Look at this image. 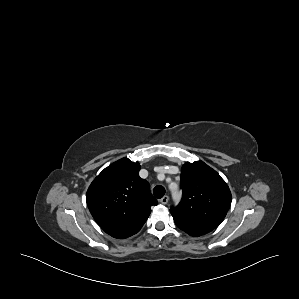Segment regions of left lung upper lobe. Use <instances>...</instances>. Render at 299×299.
I'll return each mask as SVG.
<instances>
[{"mask_svg": "<svg viewBox=\"0 0 299 299\" xmlns=\"http://www.w3.org/2000/svg\"><path fill=\"white\" fill-rule=\"evenodd\" d=\"M180 186L182 200L170 209L177 227L190 236L214 230L225 218L232 200L225 181L204 162L196 161L183 165Z\"/></svg>", "mask_w": 299, "mask_h": 299, "instance_id": "left-lung-upper-lobe-1", "label": "left lung upper lobe"}]
</instances>
